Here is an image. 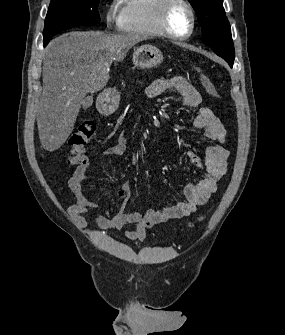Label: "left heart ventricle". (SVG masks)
Returning <instances> with one entry per match:
<instances>
[{
	"label": "left heart ventricle",
	"instance_id": "b2bd125f",
	"mask_svg": "<svg viewBox=\"0 0 285 335\" xmlns=\"http://www.w3.org/2000/svg\"><path fill=\"white\" fill-rule=\"evenodd\" d=\"M187 19V11L180 5H176L171 13V24L174 28L182 26Z\"/></svg>",
	"mask_w": 285,
	"mask_h": 335
}]
</instances>
